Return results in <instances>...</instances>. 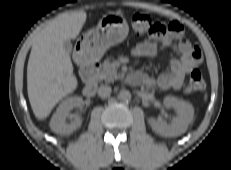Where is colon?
Instances as JSON below:
<instances>
[{
	"mask_svg": "<svg viewBox=\"0 0 231 170\" xmlns=\"http://www.w3.org/2000/svg\"><path fill=\"white\" fill-rule=\"evenodd\" d=\"M130 22L134 31L141 35L160 38L167 32L165 25L155 22L149 15L144 13L133 14ZM205 87L206 81L202 72L198 69L193 70L186 84V91L188 93H195L204 90Z\"/></svg>",
	"mask_w": 231,
	"mask_h": 170,
	"instance_id": "obj_1",
	"label": "colon"
}]
</instances>
